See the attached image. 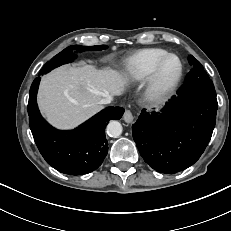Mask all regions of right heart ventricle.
<instances>
[{"label":"right heart ventricle","mask_w":231,"mask_h":231,"mask_svg":"<svg viewBox=\"0 0 231 231\" xmlns=\"http://www.w3.org/2000/svg\"><path fill=\"white\" fill-rule=\"evenodd\" d=\"M168 54L162 48L138 50L123 62V75L132 83H140L148 78L157 62Z\"/></svg>","instance_id":"1"}]
</instances>
